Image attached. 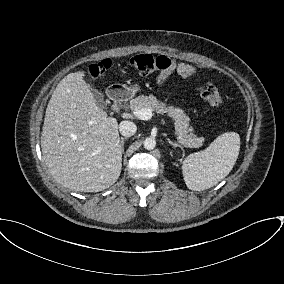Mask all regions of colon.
I'll return each mask as SVG.
<instances>
[{"label":"colon","mask_w":284,"mask_h":284,"mask_svg":"<svg viewBox=\"0 0 284 284\" xmlns=\"http://www.w3.org/2000/svg\"><path fill=\"white\" fill-rule=\"evenodd\" d=\"M130 64L139 75L146 76L157 71H164L171 67L172 62L166 56H153L150 54H138L131 58ZM109 68L108 61H102L89 66L91 75L98 77L103 75ZM198 92L211 106L220 107L223 104L216 87L209 83L201 84Z\"/></svg>","instance_id":"colon-1"}]
</instances>
